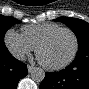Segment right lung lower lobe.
Segmentation results:
<instances>
[{
  "mask_svg": "<svg viewBox=\"0 0 89 89\" xmlns=\"http://www.w3.org/2000/svg\"><path fill=\"white\" fill-rule=\"evenodd\" d=\"M27 74L26 64L15 59L6 47L0 48V89H16Z\"/></svg>",
  "mask_w": 89,
  "mask_h": 89,
  "instance_id": "right-lung-lower-lobe-1",
  "label": "right lung lower lobe"
}]
</instances>
